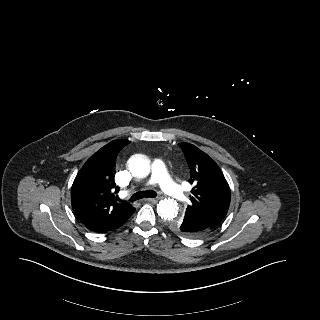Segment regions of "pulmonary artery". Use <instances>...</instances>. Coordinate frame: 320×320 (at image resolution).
<instances>
[{
    "mask_svg": "<svg viewBox=\"0 0 320 320\" xmlns=\"http://www.w3.org/2000/svg\"><path fill=\"white\" fill-rule=\"evenodd\" d=\"M159 184L164 192L177 200L184 201L186 199L182 189L172 181L167 173L165 164L162 160L157 159L152 164V175L147 185Z\"/></svg>",
    "mask_w": 320,
    "mask_h": 320,
    "instance_id": "pulmonary-artery-1",
    "label": "pulmonary artery"
}]
</instances>
